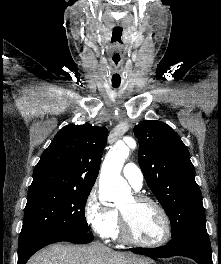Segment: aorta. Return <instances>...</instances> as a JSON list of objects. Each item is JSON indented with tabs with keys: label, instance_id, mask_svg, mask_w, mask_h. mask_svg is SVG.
<instances>
[{
	"label": "aorta",
	"instance_id": "762f6f07",
	"mask_svg": "<svg viewBox=\"0 0 221 264\" xmlns=\"http://www.w3.org/2000/svg\"><path fill=\"white\" fill-rule=\"evenodd\" d=\"M131 147H136V142L131 140ZM130 153L129 147L124 142H119L107 153L100 173L99 193L100 200L118 203L128 191V184L121 176V170Z\"/></svg>",
	"mask_w": 221,
	"mask_h": 264
}]
</instances>
